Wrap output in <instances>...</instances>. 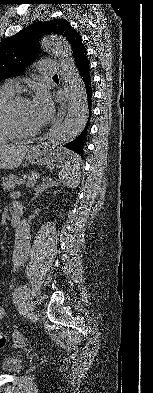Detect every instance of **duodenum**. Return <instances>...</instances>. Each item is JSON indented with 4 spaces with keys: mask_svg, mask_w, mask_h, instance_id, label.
I'll list each match as a JSON object with an SVG mask.
<instances>
[{
    "mask_svg": "<svg viewBox=\"0 0 153 393\" xmlns=\"http://www.w3.org/2000/svg\"><path fill=\"white\" fill-rule=\"evenodd\" d=\"M19 222H20V215L17 212L13 213L12 223L14 225H18Z\"/></svg>",
    "mask_w": 153,
    "mask_h": 393,
    "instance_id": "obj_1",
    "label": "duodenum"
}]
</instances>
